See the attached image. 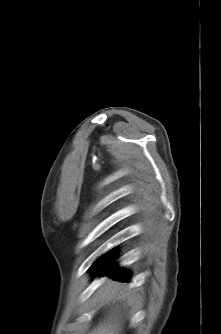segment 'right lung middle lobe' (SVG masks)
Listing matches in <instances>:
<instances>
[{
    "mask_svg": "<svg viewBox=\"0 0 221 334\" xmlns=\"http://www.w3.org/2000/svg\"><path fill=\"white\" fill-rule=\"evenodd\" d=\"M114 255V254H113ZM112 255L110 256H105L103 255L102 257H100L94 264L93 267L94 268H102L104 266H106L112 259Z\"/></svg>",
    "mask_w": 221,
    "mask_h": 334,
    "instance_id": "dd1d6c3e",
    "label": "right lung middle lobe"
}]
</instances>
